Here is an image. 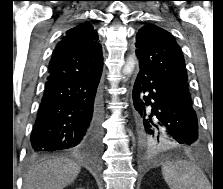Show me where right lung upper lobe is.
I'll return each mask as SVG.
<instances>
[{
  "mask_svg": "<svg viewBox=\"0 0 223 189\" xmlns=\"http://www.w3.org/2000/svg\"><path fill=\"white\" fill-rule=\"evenodd\" d=\"M103 57L96 30L81 24L71 28L57 44L47 80L78 79L102 71Z\"/></svg>",
  "mask_w": 223,
  "mask_h": 189,
  "instance_id": "1",
  "label": "right lung upper lobe"
}]
</instances>
